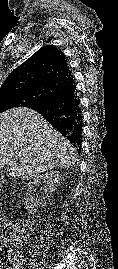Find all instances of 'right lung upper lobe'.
<instances>
[{
	"label": "right lung upper lobe",
	"instance_id": "obj_1",
	"mask_svg": "<svg viewBox=\"0 0 118 269\" xmlns=\"http://www.w3.org/2000/svg\"><path fill=\"white\" fill-rule=\"evenodd\" d=\"M67 62L56 47L43 46L9 74L0 88V97L29 95L38 103L45 101L74 83Z\"/></svg>",
	"mask_w": 118,
	"mask_h": 269
}]
</instances>
